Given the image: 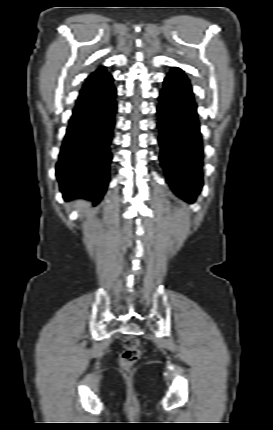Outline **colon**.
Masks as SVG:
<instances>
[{
  "label": "colon",
  "instance_id": "1",
  "mask_svg": "<svg viewBox=\"0 0 273 430\" xmlns=\"http://www.w3.org/2000/svg\"><path fill=\"white\" fill-rule=\"evenodd\" d=\"M124 350L120 354V365L122 368L128 370L134 363L141 357L142 343L134 336H127L123 341Z\"/></svg>",
  "mask_w": 273,
  "mask_h": 430
}]
</instances>
